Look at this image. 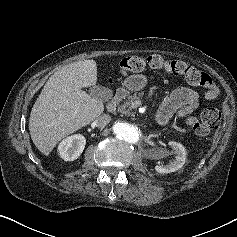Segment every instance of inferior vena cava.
I'll return each mask as SVG.
<instances>
[{"label":"inferior vena cava","mask_w":237,"mask_h":237,"mask_svg":"<svg viewBox=\"0 0 237 237\" xmlns=\"http://www.w3.org/2000/svg\"><path fill=\"white\" fill-rule=\"evenodd\" d=\"M111 116L109 114H103L96 118L95 123L99 128H104L111 121Z\"/></svg>","instance_id":"inferior-vena-cava-1"}]
</instances>
